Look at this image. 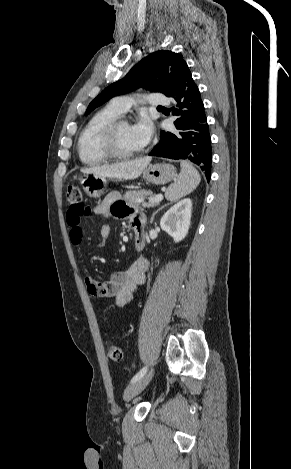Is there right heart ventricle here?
Segmentation results:
<instances>
[{
	"label": "right heart ventricle",
	"instance_id": "1",
	"mask_svg": "<svg viewBox=\"0 0 291 469\" xmlns=\"http://www.w3.org/2000/svg\"><path fill=\"white\" fill-rule=\"evenodd\" d=\"M120 115L121 112L109 104L88 120L77 141V151L82 163L95 166L109 160L102 148L101 135L104 127Z\"/></svg>",
	"mask_w": 291,
	"mask_h": 469
}]
</instances>
